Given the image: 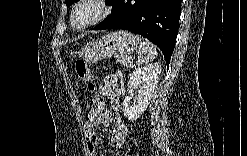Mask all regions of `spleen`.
<instances>
[{
  "instance_id": "spleen-1",
  "label": "spleen",
  "mask_w": 247,
  "mask_h": 156,
  "mask_svg": "<svg viewBox=\"0 0 247 156\" xmlns=\"http://www.w3.org/2000/svg\"><path fill=\"white\" fill-rule=\"evenodd\" d=\"M138 47V60L142 63L153 61L157 56L156 47L147 39L136 35Z\"/></svg>"
}]
</instances>
